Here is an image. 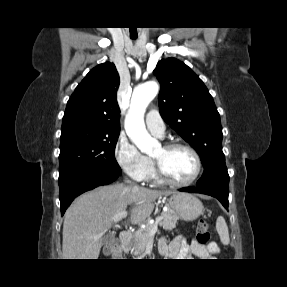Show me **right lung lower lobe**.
<instances>
[{
	"label": "right lung lower lobe",
	"instance_id": "right-lung-lower-lobe-1",
	"mask_svg": "<svg viewBox=\"0 0 287 287\" xmlns=\"http://www.w3.org/2000/svg\"><path fill=\"white\" fill-rule=\"evenodd\" d=\"M118 177L117 174L91 169L76 170L59 176L61 214L65 213L68 206L78 195L100 185L110 184Z\"/></svg>",
	"mask_w": 287,
	"mask_h": 287
}]
</instances>
